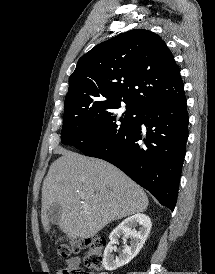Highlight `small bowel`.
<instances>
[{"label":"small bowel","instance_id":"small-bowel-1","mask_svg":"<svg viewBox=\"0 0 215 274\" xmlns=\"http://www.w3.org/2000/svg\"><path fill=\"white\" fill-rule=\"evenodd\" d=\"M81 259L79 257H72L66 261V268L58 270L57 274H75L72 272H77L81 270L80 268ZM100 274H108L106 272H102Z\"/></svg>","mask_w":215,"mask_h":274}]
</instances>
